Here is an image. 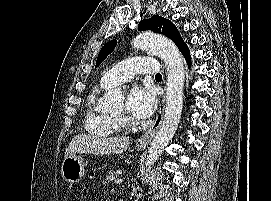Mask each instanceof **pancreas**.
<instances>
[{"mask_svg": "<svg viewBox=\"0 0 271 201\" xmlns=\"http://www.w3.org/2000/svg\"><path fill=\"white\" fill-rule=\"evenodd\" d=\"M117 172L110 170L109 173L106 175L104 179V183L110 182L112 180H115L117 178Z\"/></svg>", "mask_w": 271, "mask_h": 201, "instance_id": "pancreas-1", "label": "pancreas"}]
</instances>
